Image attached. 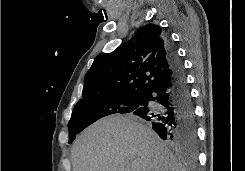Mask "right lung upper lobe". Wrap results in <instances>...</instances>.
<instances>
[{
  "mask_svg": "<svg viewBox=\"0 0 245 171\" xmlns=\"http://www.w3.org/2000/svg\"><path fill=\"white\" fill-rule=\"evenodd\" d=\"M166 43L162 28L147 24L113 52L99 54L85 75L80 101L141 95L171 73Z\"/></svg>",
  "mask_w": 245,
  "mask_h": 171,
  "instance_id": "1",
  "label": "right lung upper lobe"
}]
</instances>
